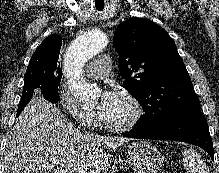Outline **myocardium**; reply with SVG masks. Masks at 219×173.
<instances>
[{
  "label": "myocardium",
  "instance_id": "obj_1",
  "mask_svg": "<svg viewBox=\"0 0 219 173\" xmlns=\"http://www.w3.org/2000/svg\"><path fill=\"white\" fill-rule=\"evenodd\" d=\"M116 93L122 95L131 104L133 114L130 119L122 124H112L102 119V125L112 132H127L134 129L139 124L144 114V108L140 100L130 90L119 88Z\"/></svg>",
  "mask_w": 219,
  "mask_h": 173
}]
</instances>
